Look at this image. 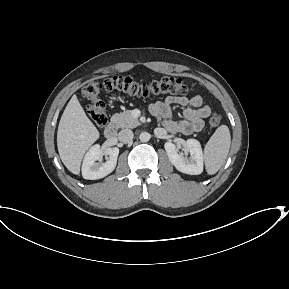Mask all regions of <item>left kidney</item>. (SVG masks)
<instances>
[{
  "instance_id": "5707ae66",
  "label": "left kidney",
  "mask_w": 289,
  "mask_h": 289,
  "mask_svg": "<svg viewBox=\"0 0 289 289\" xmlns=\"http://www.w3.org/2000/svg\"><path fill=\"white\" fill-rule=\"evenodd\" d=\"M183 147L186 153H190V157L180 153L179 148L174 143L166 142L164 148L169 161L182 173L201 174L203 171V153L200 142L195 139H188L183 143Z\"/></svg>"
}]
</instances>
